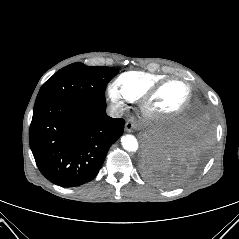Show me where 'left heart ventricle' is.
I'll return each instance as SVG.
<instances>
[{
    "instance_id": "1",
    "label": "left heart ventricle",
    "mask_w": 239,
    "mask_h": 239,
    "mask_svg": "<svg viewBox=\"0 0 239 239\" xmlns=\"http://www.w3.org/2000/svg\"><path fill=\"white\" fill-rule=\"evenodd\" d=\"M187 96V87L181 82L166 86L153 100L152 108L156 111L171 112L181 106Z\"/></svg>"
}]
</instances>
